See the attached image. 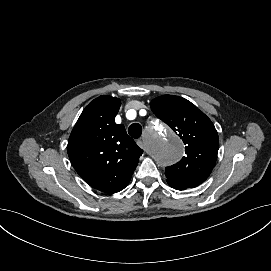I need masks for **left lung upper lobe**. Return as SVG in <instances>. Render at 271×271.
<instances>
[{"label":"left lung upper lobe","mask_w":271,"mask_h":271,"mask_svg":"<svg viewBox=\"0 0 271 271\" xmlns=\"http://www.w3.org/2000/svg\"><path fill=\"white\" fill-rule=\"evenodd\" d=\"M150 106L185 144V156L165 168L167 180L197 187L209 177L216 163L219 138L214 124L194 104L179 96H159Z\"/></svg>","instance_id":"left-lung-upper-lobe-1"}]
</instances>
